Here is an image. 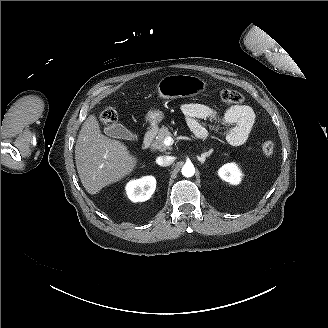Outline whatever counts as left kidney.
<instances>
[{
    "instance_id": "left-kidney-1",
    "label": "left kidney",
    "mask_w": 328,
    "mask_h": 328,
    "mask_svg": "<svg viewBox=\"0 0 328 328\" xmlns=\"http://www.w3.org/2000/svg\"><path fill=\"white\" fill-rule=\"evenodd\" d=\"M219 177L232 185H237L242 180V172L236 163L224 164L218 170Z\"/></svg>"
}]
</instances>
